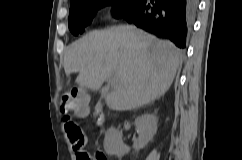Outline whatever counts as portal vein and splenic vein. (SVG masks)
I'll return each instance as SVG.
<instances>
[{"mask_svg":"<svg viewBox=\"0 0 242 160\" xmlns=\"http://www.w3.org/2000/svg\"><path fill=\"white\" fill-rule=\"evenodd\" d=\"M109 81H110V83H111L112 85H114V83H115V79H109Z\"/></svg>","mask_w":242,"mask_h":160,"instance_id":"portal-vein-and-splenic-vein-1","label":"portal vein and splenic vein"}]
</instances>
